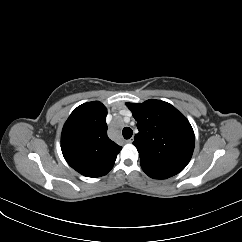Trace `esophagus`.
<instances>
[{
  "instance_id": "1",
  "label": "esophagus",
  "mask_w": 242,
  "mask_h": 242,
  "mask_svg": "<svg viewBox=\"0 0 242 242\" xmlns=\"http://www.w3.org/2000/svg\"><path fill=\"white\" fill-rule=\"evenodd\" d=\"M127 143H132L133 142V138L131 137L130 139L126 140Z\"/></svg>"
}]
</instances>
